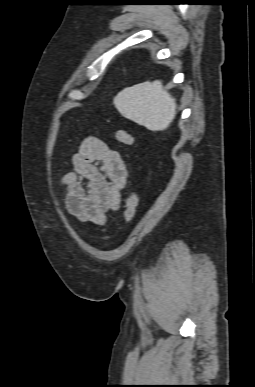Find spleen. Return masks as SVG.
I'll list each match as a JSON object with an SVG mask.
<instances>
[{
	"label": "spleen",
	"mask_w": 255,
	"mask_h": 387,
	"mask_svg": "<svg viewBox=\"0 0 255 387\" xmlns=\"http://www.w3.org/2000/svg\"><path fill=\"white\" fill-rule=\"evenodd\" d=\"M119 113L152 131L168 128L176 115V100L162 82H144L120 91L113 99Z\"/></svg>",
	"instance_id": "1"
}]
</instances>
